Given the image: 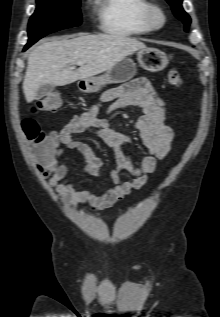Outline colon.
Returning a JSON list of instances; mask_svg holds the SVG:
<instances>
[{
  "label": "colon",
  "mask_w": 220,
  "mask_h": 317,
  "mask_svg": "<svg viewBox=\"0 0 220 317\" xmlns=\"http://www.w3.org/2000/svg\"><path fill=\"white\" fill-rule=\"evenodd\" d=\"M167 79L175 87L182 86V79L177 70H170L167 74ZM60 106V96L56 93H50L39 99L37 104L32 108V112H51L57 110ZM21 127L39 165L41 167L49 166L53 162L57 152V146L53 138L40 128L38 122L33 117L23 118Z\"/></svg>",
  "instance_id": "1"
}]
</instances>
